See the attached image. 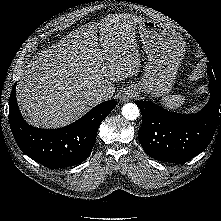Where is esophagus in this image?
Here are the masks:
<instances>
[{
  "label": "esophagus",
  "mask_w": 221,
  "mask_h": 221,
  "mask_svg": "<svg viewBox=\"0 0 221 221\" xmlns=\"http://www.w3.org/2000/svg\"><path fill=\"white\" fill-rule=\"evenodd\" d=\"M133 97H135V93H134V91H132V90L126 91V92L124 93V96H123L124 100H130V99H132Z\"/></svg>",
  "instance_id": "34e87169"
}]
</instances>
